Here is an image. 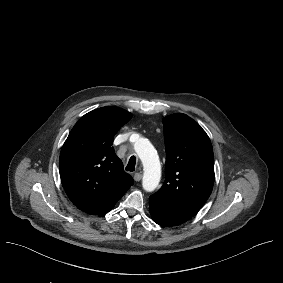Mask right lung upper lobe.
<instances>
[{
    "instance_id": "obj_1",
    "label": "right lung upper lobe",
    "mask_w": 283,
    "mask_h": 283,
    "mask_svg": "<svg viewBox=\"0 0 283 283\" xmlns=\"http://www.w3.org/2000/svg\"><path fill=\"white\" fill-rule=\"evenodd\" d=\"M132 118L118 107L85 114L72 128L60 153L62 185L70 200L88 214L109 212L133 185L115 154L113 138Z\"/></svg>"
}]
</instances>
